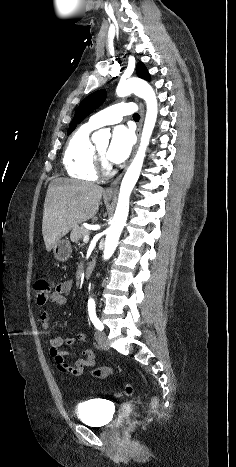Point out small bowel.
Here are the masks:
<instances>
[{
	"label": "small bowel",
	"instance_id": "c3829d8e",
	"mask_svg": "<svg viewBox=\"0 0 236 467\" xmlns=\"http://www.w3.org/2000/svg\"><path fill=\"white\" fill-rule=\"evenodd\" d=\"M72 286L73 283L71 280H65L55 287L51 295V302L55 308L61 307L66 303V296L71 292ZM50 315L51 310L48 308L43 309L40 314V320L46 332L49 331ZM76 326L81 328L82 323L77 321ZM85 340L86 335L84 332H79L76 338L58 335L49 339L48 343L50 355L52 356L54 363L60 373L68 376L80 377L84 374L86 367H94L95 354L91 349L82 350L81 358L76 360L74 364H69L66 361V357L69 353L68 351L61 349L63 344L72 345L77 341L84 342ZM111 373L112 369L108 366L94 368L92 371L93 376L97 378H106Z\"/></svg>",
	"mask_w": 236,
	"mask_h": 467
}]
</instances>
